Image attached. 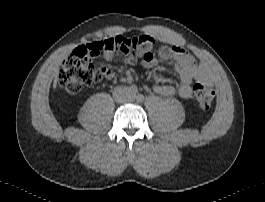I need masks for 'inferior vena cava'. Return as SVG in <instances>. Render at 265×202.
<instances>
[{
    "mask_svg": "<svg viewBox=\"0 0 265 202\" xmlns=\"http://www.w3.org/2000/svg\"><path fill=\"white\" fill-rule=\"evenodd\" d=\"M113 97L118 103H125L130 100V92L127 87H117L113 93Z\"/></svg>",
    "mask_w": 265,
    "mask_h": 202,
    "instance_id": "inferior-vena-cava-1",
    "label": "inferior vena cava"
}]
</instances>
